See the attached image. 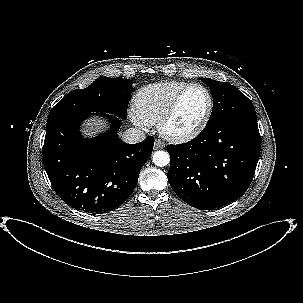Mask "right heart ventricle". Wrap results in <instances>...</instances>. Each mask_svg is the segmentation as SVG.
<instances>
[{
    "label": "right heart ventricle",
    "mask_w": 303,
    "mask_h": 303,
    "mask_svg": "<svg viewBox=\"0 0 303 303\" xmlns=\"http://www.w3.org/2000/svg\"><path fill=\"white\" fill-rule=\"evenodd\" d=\"M190 83L165 81L142 87L135 95V109L149 124H156L175 96Z\"/></svg>",
    "instance_id": "right-heart-ventricle-1"
}]
</instances>
